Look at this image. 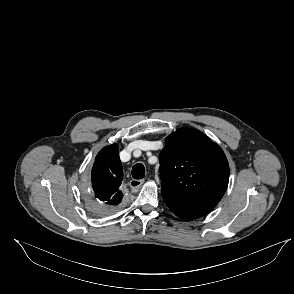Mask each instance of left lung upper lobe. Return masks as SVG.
Returning <instances> with one entry per match:
<instances>
[{
    "label": "left lung upper lobe",
    "instance_id": "left-lung-upper-lobe-1",
    "mask_svg": "<svg viewBox=\"0 0 294 294\" xmlns=\"http://www.w3.org/2000/svg\"><path fill=\"white\" fill-rule=\"evenodd\" d=\"M159 171L163 200L186 221L209 213L223 197L229 181V165L222 149L191 128H181L167 137Z\"/></svg>",
    "mask_w": 294,
    "mask_h": 294
}]
</instances>
